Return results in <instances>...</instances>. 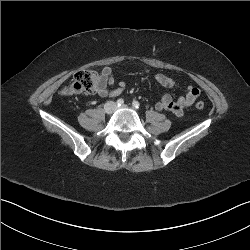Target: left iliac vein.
Here are the masks:
<instances>
[{"label":"left iliac vein","mask_w":250,"mask_h":250,"mask_svg":"<svg viewBox=\"0 0 250 250\" xmlns=\"http://www.w3.org/2000/svg\"><path fill=\"white\" fill-rule=\"evenodd\" d=\"M127 106L126 105H122L121 108H126Z\"/></svg>","instance_id":"1"}]
</instances>
